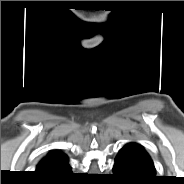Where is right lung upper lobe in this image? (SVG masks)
<instances>
[{"mask_svg": "<svg viewBox=\"0 0 184 184\" xmlns=\"http://www.w3.org/2000/svg\"><path fill=\"white\" fill-rule=\"evenodd\" d=\"M65 157L66 155L63 153L51 151L45 158L40 161L37 166V171H43Z\"/></svg>", "mask_w": 184, "mask_h": 184, "instance_id": "right-lung-upper-lobe-1", "label": "right lung upper lobe"}]
</instances>
